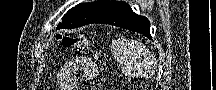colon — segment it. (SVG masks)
<instances>
[{
  "label": "colon",
  "mask_w": 216,
  "mask_h": 90,
  "mask_svg": "<svg viewBox=\"0 0 216 90\" xmlns=\"http://www.w3.org/2000/svg\"><path fill=\"white\" fill-rule=\"evenodd\" d=\"M58 40L66 47L81 46L83 44L82 38L74 36L59 35Z\"/></svg>",
  "instance_id": "colon-1"
}]
</instances>
